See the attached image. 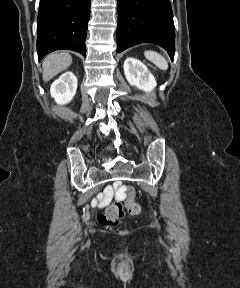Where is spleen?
<instances>
[{"instance_id":"3e777b00","label":"spleen","mask_w":240,"mask_h":288,"mask_svg":"<svg viewBox=\"0 0 240 288\" xmlns=\"http://www.w3.org/2000/svg\"><path fill=\"white\" fill-rule=\"evenodd\" d=\"M144 55L149 61H151L159 69L161 70L168 69V62L161 54L155 51H145Z\"/></svg>"}]
</instances>
